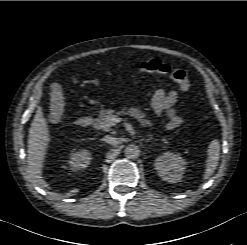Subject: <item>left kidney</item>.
I'll use <instances>...</instances> for the list:
<instances>
[{"instance_id": "obj_1", "label": "left kidney", "mask_w": 247, "mask_h": 245, "mask_svg": "<svg viewBox=\"0 0 247 245\" xmlns=\"http://www.w3.org/2000/svg\"><path fill=\"white\" fill-rule=\"evenodd\" d=\"M186 161L178 154L166 152L155 159V169L159 176L169 182H179L184 174Z\"/></svg>"}]
</instances>
